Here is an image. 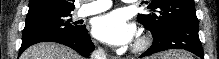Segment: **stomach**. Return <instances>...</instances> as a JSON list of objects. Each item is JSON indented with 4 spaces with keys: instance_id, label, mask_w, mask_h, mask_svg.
<instances>
[{
    "instance_id": "obj_1",
    "label": "stomach",
    "mask_w": 219,
    "mask_h": 59,
    "mask_svg": "<svg viewBox=\"0 0 219 59\" xmlns=\"http://www.w3.org/2000/svg\"><path fill=\"white\" fill-rule=\"evenodd\" d=\"M170 55L172 54H165L158 57V59H169Z\"/></svg>"
}]
</instances>
